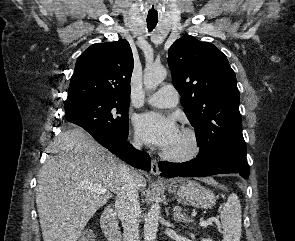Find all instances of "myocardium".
Returning a JSON list of instances; mask_svg holds the SVG:
<instances>
[{"instance_id":"1","label":"myocardium","mask_w":295,"mask_h":241,"mask_svg":"<svg viewBox=\"0 0 295 241\" xmlns=\"http://www.w3.org/2000/svg\"><path fill=\"white\" fill-rule=\"evenodd\" d=\"M180 133L189 141V147L186 151L173 153L169 151L163 152V157L173 162H190L195 160L202 152L203 146L197 131L191 127H184Z\"/></svg>"}]
</instances>
